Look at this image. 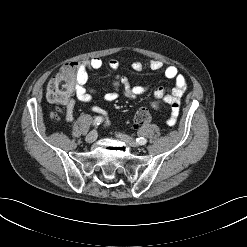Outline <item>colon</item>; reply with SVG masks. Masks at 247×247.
Segmentation results:
<instances>
[{"mask_svg":"<svg viewBox=\"0 0 247 247\" xmlns=\"http://www.w3.org/2000/svg\"><path fill=\"white\" fill-rule=\"evenodd\" d=\"M77 85V66L75 63L65 65L48 83L47 96L51 102L64 103L71 99ZM150 120L149 111L141 108L134 115V124L142 126Z\"/></svg>","mask_w":247,"mask_h":247,"instance_id":"5ec220e1","label":"colon"}]
</instances>
